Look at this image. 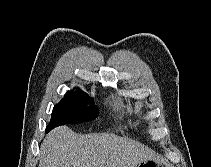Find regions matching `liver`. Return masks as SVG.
<instances>
[{
  "label": "liver",
  "instance_id": "liver-1",
  "mask_svg": "<svg viewBox=\"0 0 211 167\" xmlns=\"http://www.w3.org/2000/svg\"><path fill=\"white\" fill-rule=\"evenodd\" d=\"M151 155L115 134L79 135L59 127L41 145L40 167H136Z\"/></svg>",
  "mask_w": 211,
  "mask_h": 167
}]
</instances>
